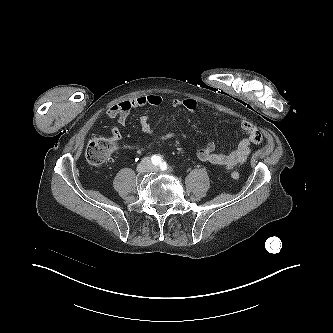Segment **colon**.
<instances>
[{
    "instance_id": "colon-1",
    "label": "colon",
    "mask_w": 333,
    "mask_h": 333,
    "mask_svg": "<svg viewBox=\"0 0 333 333\" xmlns=\"http://www.w3.org/2000/svg\"><path fill=\"white\" fill-rule=\"evenodd\" d=\"M119 147L118 140L113 137H94L88 142L85 156L90 164L102 165L111 159ZM231 177L237 180L240 175L237 171H232Z\"/></svg>"
}]
</instances>
